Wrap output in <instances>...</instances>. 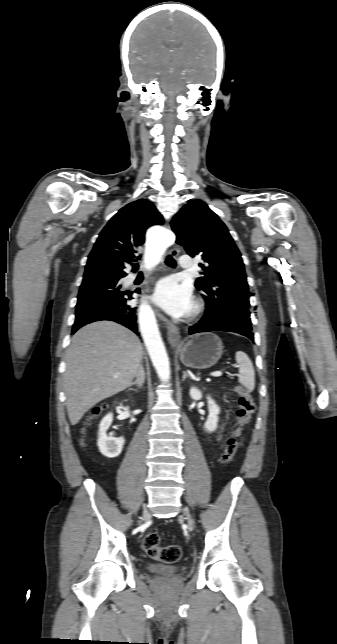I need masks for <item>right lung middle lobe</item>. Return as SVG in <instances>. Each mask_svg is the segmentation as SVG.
<instances>
[{
    "instance_id": "right-lung-middle-lobe-1",
    "label": "right lung middle lobe",
    "mask_w": 337,
    "mask_h": 644,
    "mask_svg": "<svg viewBox=\"0 0 337 644\" xmlns=\"http://www.w3.org/2000/svg\"><path fill=\"white\" fill-rule=\"evenodd\" d=\"M120 278H96L83 281L76 308L110 301L121 297L127 291H121Z\"/></svg>"
}]
</instances>
